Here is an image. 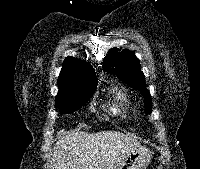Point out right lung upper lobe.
Listing matches in <instances>:
<instances>
[{
	"mask_svg": "<svg viewBox=\"0 0 200 169\" xmlns=\"http://www.w3.org/2000/svg\"><path fill=\"white\" fill-rule=\"evenodd\" d=\"M58 85L60 90L56 100L68 99L94 92L97 78L89 63L69 56L64 60Z\"/></svg>",
	"mask_w": 200,
	"mask_h": 169,
	"instance_id": "right-lung-upper-lobe-1",
	"label": "right lung upper lobe"
}]
</instances>
